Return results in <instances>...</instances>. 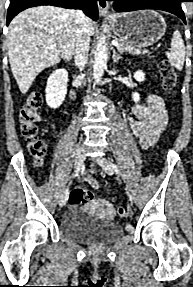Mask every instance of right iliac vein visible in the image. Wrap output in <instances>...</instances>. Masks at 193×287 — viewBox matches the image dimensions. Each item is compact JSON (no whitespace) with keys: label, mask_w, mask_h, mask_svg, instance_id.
Segmentation results:
<instances>
[{"label":"right iliac vein","mask_w":193,"mask_h":287,"mask_svg":"<svg viewBox=\"0 0 193 287\" xmlns=\"http://www.w3.org/2000/svg\"><path fill=\"white\" fill-rule=\"evenodd\" d=\"M85 160V148L83 146L79 147L76 156H75V168L77 169L79 166H82ZM69 191L66 189L62 195L60 196L59 205L63 207L68 199Z\"/></svg>","instance_id":"right-iliac-vein-1"}]
</instances>
